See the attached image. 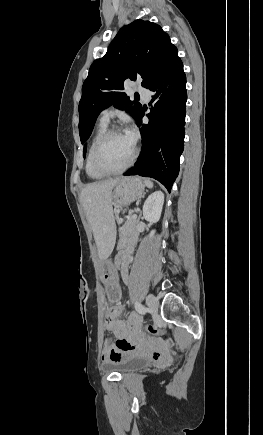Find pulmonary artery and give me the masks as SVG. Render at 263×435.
Instances as JSON below:
<instances>
[{
    "label": "pulmonary artery",
    "mask_w": 263,
    "mask_h": 435,
    "mask_svg": "<svg viewBox=\"0 0 263 435\" xmlns=\"http://www.w3.org/2000/svg\"><path fill=\"white\" fill-rule=\"evenodd\" d=\"M137 91L143 96V98L147 101L149 98V92L146 88L142 86H137ZM115 111L112 107L103 110L100 114V121L104 123H108L110 119L114 116Z\"/></svg>",
    "instance_id": "1"
}]
</instances>
